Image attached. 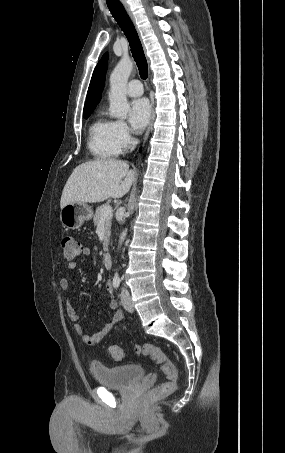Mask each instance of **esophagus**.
<instances>
[{"label":"esophagus","instance_id":"esophagus-1","mask_svg":"<svg viewBox=\"0 0 285 453\" xmlns=\"http://www.w3.org/2000/svg\"><path fill=\"white\" fill-rule=\"evenodd\" d=\"M126 12L128 13L129 17L131 18L133 24L135 25V19H134V16L132 14V11L128 5V3L126 2V0H121ZM136 27V25H135ZM137 29V27H136ZM138 31V30H137ZM153 119H154V102L153 100L151 101V117H150V122H149V125H148V128L146 130V133H145V136H144V141H143V145L145 144V142L147 141L148 139V136L150 134V131H151V128H152V124H153Z\"/></svg>","mask_w":285,"mask_h":453}]
</instances>
